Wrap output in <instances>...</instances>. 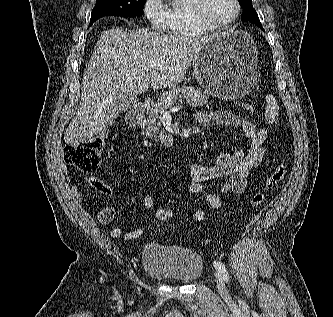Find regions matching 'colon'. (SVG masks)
<instances>
[{
    "mask_svg": "<svg viewBox=\"0 0 333 317\" xmlns=\"http://www.w3.org/2000/svg\"><path fill=\"white\" fill-rule=\"evenodd\" d=\"M240 107L246 112H252L253 106L248 102H242ZM105 142L101 135L92 137L88 140L68 145L64 149V161L78 170L90 173L94 172L101 162L102 152ZM287 174V166L280 163L274 167L263 186L258 189L251 198V205L254 207L264 203L269 192L278 186ZM154 220L158 222H172L174 211L170 207L157 206L152 210Z\"/></svg>",
    "mask_w": 333,
    "mask_h": 317,
    "instance_id": "5ec220e1",
    "label": "colon"
}]
</instances>
